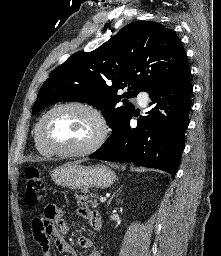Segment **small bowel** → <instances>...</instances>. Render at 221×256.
I'll use <instances>...</instances> for the list:
<instances>
[{
	"label": "small bowel",
	"instance_id": "obj_1",
	"mask_svg": "<svg viewBox=\"0 0 221 256\" xmlns=\"http://www.w3.org/2000/svg\"><path fill=\"white\" fill-rule=\"evenodd\" d=\"M76 213L88 220L93 229L100 228L101 217L98 211L89 208H78ZM68 230L69 224L65 219L64 211L51 204L47 205L32 222L33 237L41 248L42 256H52V244L65 256H78L75 249L64 238ZM78 243L83 249L92 248V241L87 236H80ZM87 256H101V254L98 250L92 249Z\"/></svg>",
	"mask_w": 221,
	"mask_h": 256
}]
</instances>
